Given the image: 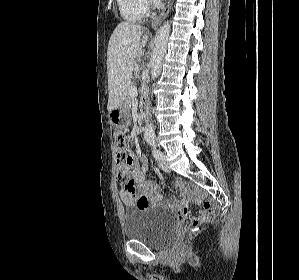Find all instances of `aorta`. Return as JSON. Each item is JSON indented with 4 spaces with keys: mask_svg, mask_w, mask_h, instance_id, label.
<instances>
[{
    "mask_svg": "<svg viewBox=\"0 0 299 280\" xmlns=\"http://www.w3.org/2000/svg\"><path fill=\"white\" fill-rule=\"evenodd\" d=\"M169 34H170V23L165 22L158 29L156 33L154 48L152 51V58L150 61V68H151L150 75L153 80L156 79L161 73L162 61L166 54ZM144 137L147 140L155 139V132L152 125L146 126Z\"/></svg>",
    "mask_w": 299,
    "mask_h": 280,
    "instance_id": "1",
    "label": "aorta"
}]
</instances>
